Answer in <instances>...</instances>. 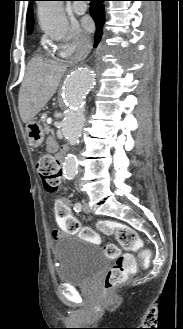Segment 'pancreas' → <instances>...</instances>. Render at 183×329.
I'll return each mask as SVG.
<instances>
[{
  "label": "pancreas",
  "mask_w": 183,
  "mask_h": 329,
  "mask_svg": "<svg viewBox=\"0 0 183 329\" xmlns=\"http://www.w3.org/2000/svg\"><path fill=\"white\" fill-rule=\"evenodd\" d=\"M43 125H44V130L46 133H49L50 132V128L49 126L47 125L46 121H47V115L44 116V118L41 120Z\"/></svg>",
  "instance_id": "pancreas-1"
}]
</instances>
